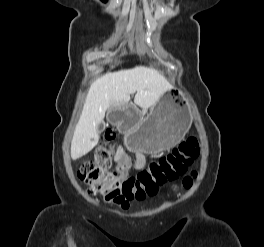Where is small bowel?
Listing matches in <instances>:
<instances>
[{"mask_svg":"<svg viewBox=\"0 0 264 247\" xmlns=\"http://www.w3.org/2000/svg\"><path fill=\"white\" fill-rule=\"evenodd\" d=\"M115 161L118 163H124L126 166L129 165V160L126 157L124 147L120 145L117 148L116 154H115ZM145 164V156L142 153H137L136 155V162H135V168L141 169Z\"/></svg>","mask_w":264,"mask_h":247,"instance_id":"c3829d8e","label":"small bowel"}]
</instances>
